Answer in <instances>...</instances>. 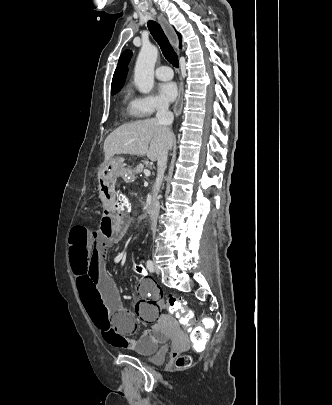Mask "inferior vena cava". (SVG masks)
Returning a JSON list of instances; mask_svg holds the SVG:
<instances>
[{
	"label": "inferior vena cava",
	"mask_w": 332,
	"mask_h": 405,
	"mask_svg": "<svg viewBox=\"0 0 332 405\" xmlns=\"http://www.w3.org/2000/svg\"><path fill=\"white\" fill-rule=\"evenodd\" d=\"M156 119L160 125L165 127L167 130L171 131L170 127L173 123L174 115L171 111H169V103L167 101H161L158 103ZM167 158H168V149L165 148L157 159V166H158L157 178H156L155 185L153 187L152 203H151V207L149 209L150 220H151L153 227H155L157 218L159 215L160 204H159L158 192H159V189H160V186H161V183L163 180L164 172L166 169Z\"/></svg>",
	"instance_id": "inferior-vena-cava-1"
}]
</instances>
